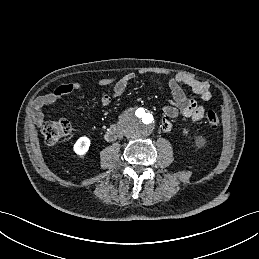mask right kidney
Segmentation results:
<instances>
[{
  "instance_id": "ca27d5eb",
  "label": "right kidney",
  "mask_w": 259,
  "mask_h": 259,
  "mask_svg": "<svg viewBox=\"0 0 259 259\" xmlns=\"http://www.w3.org/2000/svg\"><path fill=\"white\" fill-rule=\"evenodd\" d=\"M90 146V139L86 136L80 137L74 144V152L78 155H84Z\"/></svg>"
}]
</instances>
